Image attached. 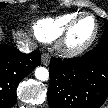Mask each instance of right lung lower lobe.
Instances as JSON below:
<instances>
[{"mask_svg":"<svg viewBox=\"0 0 108 108\" xmlns=\"http://www.w3.org/2000/svg\"><path fill=\"white\" fill-rule=\"evenodd\" d=\"M40 64L39 51L24 54L11 46H0V108L16 103L19 82Z\"/></svg>","mask_w":108,"mask_h":108,"instance_id":"right-lung-lower-lobe-1","label":"right lung lower lobe"}]
</instances>
